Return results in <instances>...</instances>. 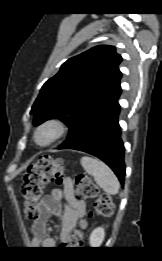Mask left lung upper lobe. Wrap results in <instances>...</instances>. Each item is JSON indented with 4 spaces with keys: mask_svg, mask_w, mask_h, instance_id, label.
<instances>
[{
    "mask_svg": "<svg viewBox=\"0 0 162 261\" xmlns=\"http://www.w3.org/2000/svg\"><path fill=\"white\" fill-rule=\"evenodd\" d=\"M122 57L115 47L99 45L68 59L42 87L31 114L33 124L59 118L68 136L121 92Z\"/></svg>",
    "mask_w": 162,
    "mask_h": 261,
    "instance_id": "5c2ea615",
    "label": "left lung upper lobe"
}]
</instances>
